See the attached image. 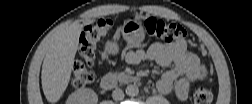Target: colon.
Instances as JSON below:
<instances>
[{
  "label": "colon",
  "mask_w": 252,
  "mask_h": 104,
  "mask_svg": "<svg viewBox=\"0 0 252 104\" xmlns=\"http://www.w3.org/2000/svg\"><path fill=\"white\" fill-rule=\"evenodd\" d=\"M146 34L151 39L169 43L187 36L186 30L178 23L165 21L155 17L148 18L144 23ZM109 20H99L88 24L82 32L79 40V54L81 59L74 62L71 84L75 88H82L94 81L92 71L85 65L90 66L95 57L96 44L110 31ZM85 62V63H84ZM196 104H209L212 101V92L207 87H199L194 92Z\"/></svg>",
  "instance_id": "5ec220e1"
}]
</instances>
